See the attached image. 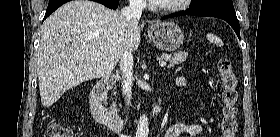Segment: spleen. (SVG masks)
Instances as JSON below:
<instances>
[{
	"label": "spleen",
	"instance_id": "1",
	"mask_svg": "<svg viewBox=\"0 0 280 137\" xmlns=\"http://www.w3.org/2000/svg\"><path fill=\"white\" fill-rule=\"evenodd\" d=\"M206 37H207V39H208L211 43H213L214 45L220 46V47L223 46L222 40H221L220 38H218L217 36H215L214 34L208 33V34L206 35Z\"/></svg>",
	"mask_w": 280,
	"mask_h": 137
}]
</instances>
